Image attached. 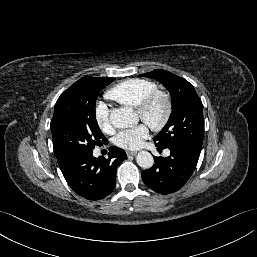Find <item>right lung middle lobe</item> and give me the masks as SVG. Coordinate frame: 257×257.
<instances>
[{
	"label": "right lung middle lobe",
	"mask_w": 257,
	"mask_h": 257,
	"mask_svg": "<svg viewBox=\"0 0 257 257\" xmlns=\"http://www.w3.org/2000/svg\"><path fill=\"white\" fill-rule=\"evenodd\" d=\"M112 81L113 78L87 76L61 94L50 124L57 158L83 157L95 145L107 141L96 121L95 103L99 91Z\"/></svg>",
	"instance_id": "right-lung-middle-lobe-1"
}]
</instances>
